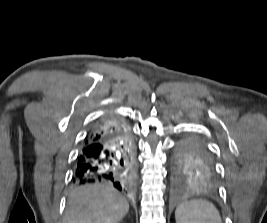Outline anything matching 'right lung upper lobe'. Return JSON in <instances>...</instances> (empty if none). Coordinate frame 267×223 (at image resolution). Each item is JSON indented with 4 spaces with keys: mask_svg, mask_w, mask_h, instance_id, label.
<instances>
[{
    "mask_svg": "<svg viewBox=\"0 0 267 223\" xmlns=\"http://www.w3.org/2000/svg\"><path fill=\"white\" fill-rule=\"evenodd\" d=\"M126 129L127 124L120 118H105L95 124L93 129L90 131L89 136L85 139V144L89 142H96L103 137H108L115 135L117 133V128ZM115 128V130H113Z\"/></svg>",
    "mask_w": 267,
    "mask_h": 223,
    "instance_id": "right-lung-upper-lobe-1",
    "label": "right lung upper lobe"
}]
</instances>
